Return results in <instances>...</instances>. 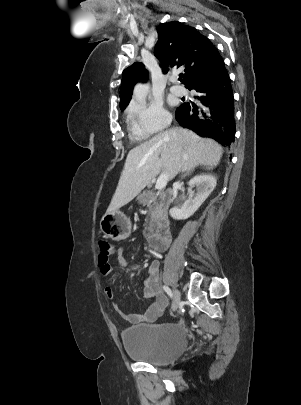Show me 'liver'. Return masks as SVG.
Masks as SVG:
<instances>
[{
  "mask_svg": "<svg viewBox=\"0 0 301 405\" xmlns=\"http://www.w3.org/2000/svg\"><path fill=\"white\" fill-rule=\"evenodd\" d=\"M222 154L223 149L217 142L192 131L170 129L160 132L128 153L107 213L131 202L161 170L173 179L179 172H188L198 165L213 169Z\"/></svg>",
  "mask_w": 301,
  "mask_h": 405,
  "instance_id": "obj_1",
  "label": "liver"
}]
</instances>
